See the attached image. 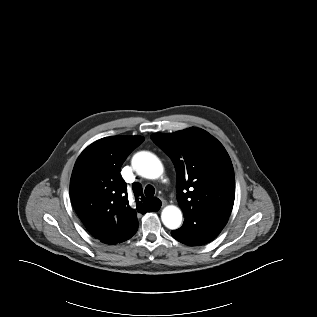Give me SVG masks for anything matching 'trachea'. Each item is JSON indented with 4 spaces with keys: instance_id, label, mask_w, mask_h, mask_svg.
Returning a JSON list of instances; mask_svg holds the SVG:
<instances>
[{
    "instance_id": "trachea-1",
    "label": "trachea",
    "mask_w": 317,
    "mask_h": 317,
    "mask_svg": "<svg viewBox=\"0 0 317 317\" xmlns=\"http://www.w3.org/2000/svg\"><path fill=\"white\" fill-rule=\"evenodd\" d=\"M155 194V189L152 185H147L145 188V195L146 196H154Z\"/></svg>"
}]
</instances>
